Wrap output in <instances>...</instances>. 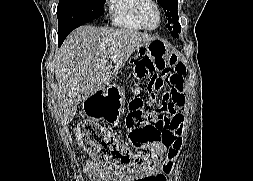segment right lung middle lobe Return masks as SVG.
<instances>
[{
    "label": "right lung middle lobe",
    "mask_w": 253,
    "mask_h": 181,
    "mask_svg": "<svg viewBox=\"0 0 253 181\" xmlns=\"http://www.w3.org/2000/svg\"><path fill=\"white\" fill-rule=\"evenodd\" d=\"M105 0H60L57 8L58 35L103 15Z\"/></svg>",
    "instance_id": "1"
}]
</instances>
